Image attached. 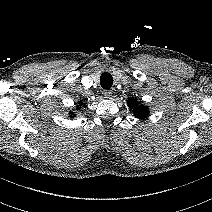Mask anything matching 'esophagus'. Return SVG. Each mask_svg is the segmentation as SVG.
I'll return each mask as SVG.
<instances>
[{
  "mask_svg": "<svg viewBox=\"0 0 212 212\" xmlns=\"http://www.w3.org/2000/svg\"><path fill=\"white\" fill-rule=\"evenodd\" d=\"M103 95L105 98L110 99L112 97L113 92L111 90H103Z\"/></svg>",
  "mask_w": 212,
  "mask_h": 212,
  "instance_id": "34e87169",
  "label": "esophagus"
}]
</instances>
